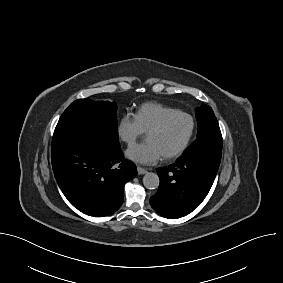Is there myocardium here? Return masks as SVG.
Masks as SVG:
<instances>
[{
	"label": "myocardium",
	"instance_id": "f54148a6",
	"mask_svg": "<svg viewBox=\"0 0 283 283\" xmlns=\"http://www.w3.org/2000/svg\"><path fill=\"white\" fill-rule=\"evenodd\" d=\"M178 116H184V117L189 119V121H190V131H189L187 138L185 139L183 144L178 149H176L175 151H173L169 154L163 155V157L165 159L177 158V157L181 156L186 151V149L190 145V143L193 139V136L195 134L196 122H195L194 117L187 112L178 110V111L172 112V113L166 115L165 117H163L154 127H152L147 132V135H149L151 133H156V132L162 131L173 118L178 117Z\"/></svg>",
	"mask_w": 283,
	"mask_h": 283
}]
</instances>
